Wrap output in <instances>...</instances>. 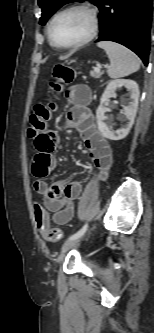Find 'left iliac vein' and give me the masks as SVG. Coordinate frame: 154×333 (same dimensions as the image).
<instances>
[{
  "label": "left iliac vein",
  "mask_w": 154,
  "mask_h": 333,
  "mask_svg": "<svg viewBox=\"0 0 154 333\" xmlns=\"http://www.w3.org/2000/svg\"><path fill=\"white\" fill-rule=\"evenodd\" d=\"M83 237H84V234L81 235L80 237H77L75 239L68 240L67 242H65L61 249V255L64 254L69 249H71L73 246H75Z\"/></svg>",
  "instance_id": "1"
}]
</instances>
